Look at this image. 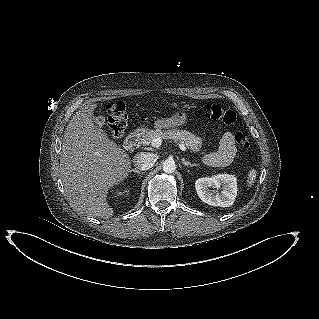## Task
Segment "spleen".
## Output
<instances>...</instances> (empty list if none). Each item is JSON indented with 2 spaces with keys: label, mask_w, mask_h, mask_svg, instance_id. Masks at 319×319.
Wrapping results in <instances>:
<instances>
[{
  "label": "spleen",
  "mask_w": 319,
  "mask_h": 319,
  "mask_svg": "<svg viewBox=\"0 0 319 319\" xmlns=\"http://www.w3.org/2000/svg\"><path fill=\"white\" fill-rule=\"evenodd\" d=\"M257 176V171L255 169H251L248 173L247 185L248 187L252 186L255 182Z\"/></svg>",
  "instance_id": "obj_1"
}]
</instances>
